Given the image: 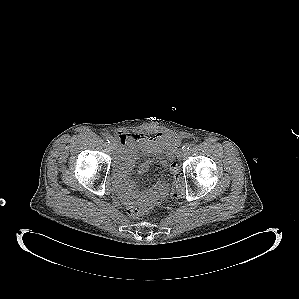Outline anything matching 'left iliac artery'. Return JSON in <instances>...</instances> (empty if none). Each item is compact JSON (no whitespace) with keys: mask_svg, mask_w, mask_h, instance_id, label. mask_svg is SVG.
Masks as SVG:
<instances>
[{"mask_svg":"<svg viewBox=\"0 0 299 299\" xmlns=\"http://www.w3.org/2000/svg\"><path fill=\"white\" fill-rule=\"evenodd\" d=\"M190 147H191V144L186 143V144L182 147V149H184V150H189Z\"/></svg>","mask_w":299,"mask_h":299,"instance_id":"left-iliac-artery-1","label":"left iliac artery"}]
</instances>
